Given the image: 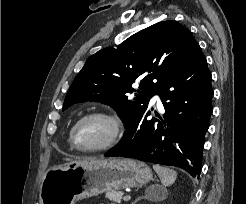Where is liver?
I'll list each match as a JSON object with an SVG mask.
<instances>
[{
  "instance_id": "1",
  "label": "liver",
  "mask_w": 246,
  "mask_h": 204,
  "mask_svg": "<svg viewBox=\"0 0 246 204\" xmlns=\"http://www.w3.org/2000/svg\"><path fill=\"white\" fill-rule=\"evenodd\" d=\"M65 160L69 161V159H68V158H66Z\"/></svg>"
}]
</instances>
